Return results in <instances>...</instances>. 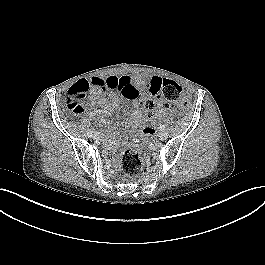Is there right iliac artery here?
Wrapping results in <instances>:
<instances>
[{"label": "right iliac artery", "mask_w": 265, "mask_h": 265, "mask_svg": "<svg viewBox=\"0 0 265 265\" xmlns=\"http://www.w3.org/2000/svg\"><path fill=\"white\" fill-rule=\"evenodd\" d=\"M87 135H88V137H92V136H93V131L89 130V131L87 132Z\"/></svg>", "instance_id": "82829eb1"}]
</instances>
